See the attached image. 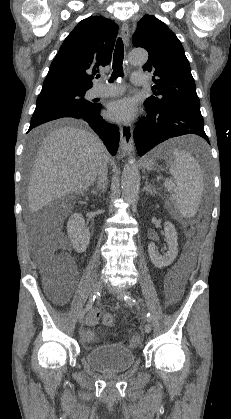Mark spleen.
<instances>
[{
    "label": "spleen",
    "instance_id": "1",
    "mask_svg": "<svg viewBox=\"0 0 231 419\" xmlns=\"http://www.w3.org/2000/svg\"><path fill=\"white\" fill-rule=\"evenodd\" d=\"M171 153L170 173L174 181L171 183L174 191L171 200L183 217L191 218L197 212L203 193L202 170L190 152L175 148Z\"/></svg>",
    "mask_w": 231,
    "mask_h": 419
}]
</instances>
